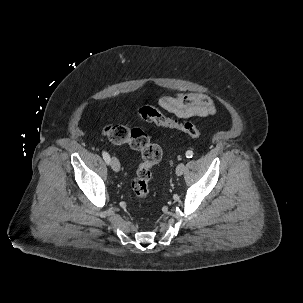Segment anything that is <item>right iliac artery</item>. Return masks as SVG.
Instances as JSON below:
<instances>
[{"label": "right iliac artery", "mask_w": 303, "mask_h": 303, "mask_svg": "<svg viewBox=\"0 0 303 303\" xmlns=\"http://www.w3.org/2000/svg\"><path fill=\"white\" fill-rule=\"evenodd\" d=\"M102 156H103V159L105 160V162L107 164H109L110 163V156H109V154L107 152L103 151L102 152Z\"/></svg>", "instance_id": "obj_1"}]
</instances>
